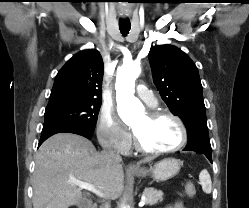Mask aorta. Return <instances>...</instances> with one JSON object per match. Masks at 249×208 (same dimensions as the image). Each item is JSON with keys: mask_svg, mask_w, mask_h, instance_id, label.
<instances>
[{"mask_svg": "<svg viewBox=\"0 0 249 208\" xmlns=\"http://www.w3.org/2000/svg\"><path fill=\"white\" fill-rule=\"evenodd\" d=\"M140 65L136 63L123 64L117 70L116 77V100L118 114L124 123H130L144 112L140 100L134 96L135 80L140 75ZM121 208H128L122 205Z\"/></svg>", "mask_w": 249, "mask_h": 208, "instance_id": "762f6f07", "label": "aorta"}]
</instances>
